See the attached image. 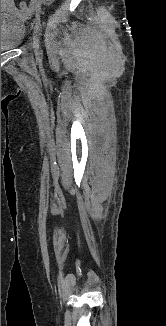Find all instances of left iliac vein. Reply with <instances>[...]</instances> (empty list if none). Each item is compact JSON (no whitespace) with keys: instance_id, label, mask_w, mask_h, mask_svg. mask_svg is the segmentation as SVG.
<instances>
[{"instance_id":"1","label":"left iliac vein","mask_w":166,"mask_h":326,"mask_svg":"<svg viewBox=\"0 0 166 326\" xmlns=\"http://www.w3.org/2000/svg\"><path fill=\"white\" fill-rule=\"evenodd\" d=\"M37 32L38 31L35 28L32 44H33V49H34L35 55H36V57L39 58L41 56V51H40V43H39V38H38Z\"/></svg>"}]
</instances>
